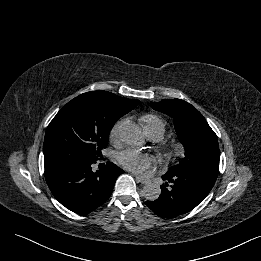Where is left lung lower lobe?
Segmentation results:
<instances>
[{
  "label": "left lung lower lobe",
  "mask_w": 261,
  "mask_h": 261,
  "mask_svg": "<svg viewBox=\"0 0 261 261\" xmlns=\"http://www.w3.org/2000/svg\"><path fill=\"white\" fill-rule=\"evenodd\" d=\"M161 194L147 206L158 216L174 218L200 204L212 189L217 175L201 169H186L162 176ZM168 184H171L169 187Z\"/></svg>",
  "instance_id": "left-lung-lower-lobe-1"
}]
</instances>
